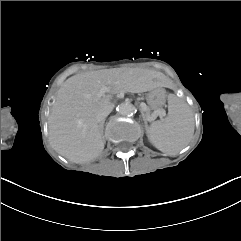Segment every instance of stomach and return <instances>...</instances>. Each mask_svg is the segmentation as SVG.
Returning <instances> with one entry per match:
<instances>
[{
  "label": "stomach",
  "instance_id": "obj_1",
  "mask_svg": "<svg viewBox=\"0 0 241 241\" xmlns=\"http://www.w3.org/2000/svg\"><path fill=\"white\" fill-rule=\"evenodd\" d=\"M147 103L152 109H160L166 103V94L163 89H156L147 95Z\"/></svg>",
  "mask_w": 241,
  "mask_h": 241
}]
</instances>
